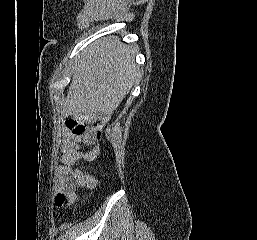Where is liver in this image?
<instances>
[{
	"label": "liver",
	"mask_w": 257,
	"mask_h": 240,
	"mask_svg": "<svg viewBox=\"0 0 257 240\" xmlns=\"http://www.w3.org/2000/svg\"><path fill=\"white\" fill-rule=\"evenodd\" d=\"M139 78L134 49L118 38L90 44L72 71L62 114L90 121L112 114Z\"/></svg>",
	"instance_id": "obj_1"
}]
</instances>
